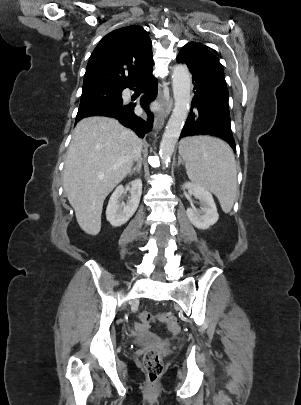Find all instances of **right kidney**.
I'll return each instance as SVG.
<instances>
[{
  "mask_svg": "<svg viewBox=\"0 0 301 405\" xmlns=\"http://www.w3.org/2000/svg\"><path fill=\"white\" fill-rule=\"evenodd\" d=\"M130 185L131 197L126 204L120 202L121 196L124 193V187L122 185L115 189L108 202L106 218L114 227H119L125 224L138 208L142 194V181L141 179H135Z\"/></svg>",
  "mask_w": 301,
  "mask_h": 405,
  "instance_id": "ca27d5eb",
  "label": "right kidney"
}]
</instances>
